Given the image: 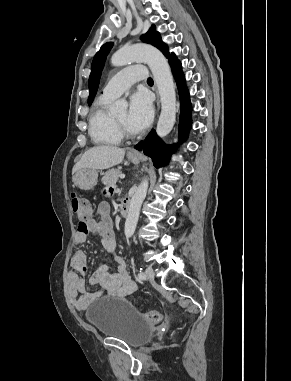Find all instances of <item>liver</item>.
<instances>
[{"label": "liver", "mask_w": 291, "mask_h": 381, "mask_svg": "<svg viewBox=\"0 0 291 381\" xmlns=\"http://www.w3.org/2000/svg\"><path fill=\"white\" fill-rule=\"evenodd\" d=\"M124 155L125 149L116 146L102 145L93 147L87 150L74 165L72 175L82 169H108L120 164L124 159Z\"/></svg>", "instance_id": "1"}]
</instances>
